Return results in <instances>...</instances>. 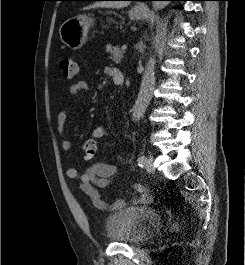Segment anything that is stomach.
Returning a JSON list of instances; mask_svg holds the SVG:
<instances>
[{
  "label": "stomach",
  "instance_id": "0dacf381",
  "mask_svg": "<svg viewBox=\"0 0 245 265\" xmlns=\"http://www.w3.org/2000/svg\"><path fill=\"white\" fill-rule=\"evenodd\" d=\"M144 12L132 9L129 11V17L132 20H138ZM94 25V19L90 15L80 14L66 20L59 29L61 41L70 49H80L88 39L89 29Z\"/></svg>",
  "mask_w": 245,
  "mask_h": 265
}]
</instances>
